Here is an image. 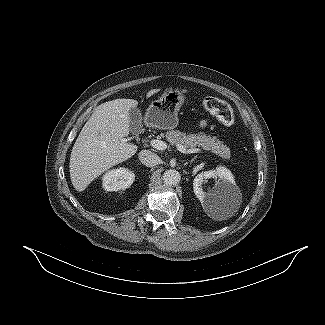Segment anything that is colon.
Returning <instances> with one entry per match:
<instances>
[{
  "instance_id": "1",
  "label": "colon",
  "mask_w": 325,
  "mask_h": 325,
  "mask_svg": "<svg viewBox=\"0 0 325 325\" xmlns=\"http://www.w3.org/2000/svg\"><path fill=\"white\" fill-rule=\"evenodd\" d=\"M204 108L214 114L224 126H232L235 123V114L232 107L225 101L208 96L203 100Z\"/></svg>"
}]
</instances>
